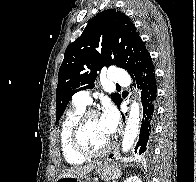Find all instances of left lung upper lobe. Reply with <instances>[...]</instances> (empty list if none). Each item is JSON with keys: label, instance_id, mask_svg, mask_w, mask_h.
Instances as JSON below:
<instances>
[{"label": "left lung upper lobe", "instance_id": "left-lung-upper-lobe-1", "mask_svg": "<svg viewBox=\"0 0 196 182\" xmlns=\"http://www.w3.org/2000/svg\"><path fill=\"white\" fill-rule=\"evenodd\" d=\"M148 55L134 24L124 13L109 9L97 14L65 50L58 73L56 123L74 93L94 87L97 71L116 65L132 75ZM111 98L117 106L122 101L117 93Z\"/></svg>", "mask_w": 196, "mask_h": 182}]
</instances>
